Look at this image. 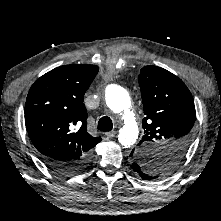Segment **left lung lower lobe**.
<instances>
[{"label": "left lung lower lobe", "mask_w": 221, "mask_h": 221, "mask_svg": "<svg viewBox=\"0 0 221 221\" xmlns=\"http://www.w3.org/2000/svg\"><path fill=\"white\" fill-rule=\"evenodd\" d=\"M133 152L134 150H132L130 156H133L134 157V161L132 162L131 164V168L134 170V172L140 176L141 178L144 177L145 180L149 178V175L147 172H145V169H146V166L140 164L138 161H137V158L135 155H133ZM143 178V179H144Z\"/></svg>", "instance_id": "obj_1"}]
</instances>
